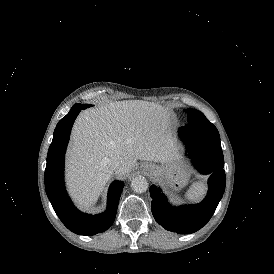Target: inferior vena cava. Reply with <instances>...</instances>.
I'll return each mask as SVG.
<instances>
[{
  "mask_svg": "<svg viewBox=\"0 0 274 274\" xmlns=\"http://www.w3.org/2000/svg\"><path fill=\"white\" fill-rule=\"evenodd\" d=\"M113 168H114V169L119 168V170L122 169V167H121V165H120V161H119L118 159H115V160H114V162H113Z\"/></svg>",
  "mask_w": 274,
  "mask_h": 274,
  "instance_id": "602c4592",
  "label": "inferior vena cava"
}]
</instances>
